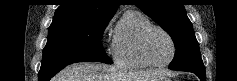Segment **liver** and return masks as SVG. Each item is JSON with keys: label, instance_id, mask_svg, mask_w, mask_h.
<instances>
[{"label": "liver", "instance_id": "1", "mask_svg": "<svg viewBox=\"0 0 237 81\" xmlns=\"http://www.w3.org/2000/svg\"><path fill=\"white\" fill-rule=\"evenodd\" d=\"M164 75L162 70L125 72L115 66L81 62L67 66L54 81H152Z\"/></svg>", "mask_w": 237, "mask_h": 81}]
</instances>
